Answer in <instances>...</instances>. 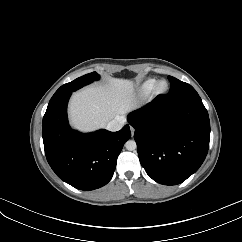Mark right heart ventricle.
I'll list each match as a JSON object with an SVG mask.
<instances>
[{"label":"right heart ventricle","mask_w":242,"mask_h":242,"mask_svg":"<svg viewBox=\"0 0 242 242\" xmlns=\"http://www.w3.org/2000/svg\"><path fill=\"white\" fill-rule=\"evenodd\" d=\"M156 83L155 79H148L144 81L138 88V92L141 95H148Z\"/></svg>","instance_id":"right-heart-ventricle-1"}]
</instances>
